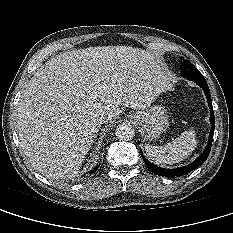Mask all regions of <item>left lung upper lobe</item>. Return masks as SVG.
<instances>
[{"label":"left lung upper lobe","mask_w":233,"mask_h":233,"mask_svg":"<svg viewBox=\"0 0 233 233\" xmlns=\"http://www.w3.org/2000/svg\"><path fill=\"white\" fill-rule=\"evenodd\" d=\"M180 75L194 82L205 81L204 76L198 71V69L192 65L191 62L185 59H183V63L181 65Z\"/></svg>","instance_id":"5c2ea615"}]
</instances>
